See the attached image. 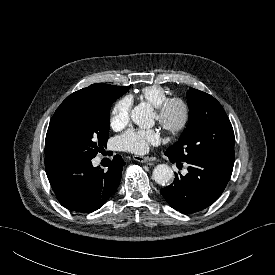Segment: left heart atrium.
Returning <instances> with one entry per match:
<instances>
[{
  "label": "left heart atrium",
  "instance_id": "39dd6f15",
  "mask_svg": "<svg viewBox=\"0 0 275 275\" xmlns=\"http://www.w3.org/2000/svg\"><path fill=\"white\" fill-rule=\"evenodd\" d=\"M160 140V133L156 129L128 130L119 139L123 149L137 154L147 152L150 145H156Z\"/></svg>",
  "mask_w": 275,
  "mask_h": 275
}]
</instances>
